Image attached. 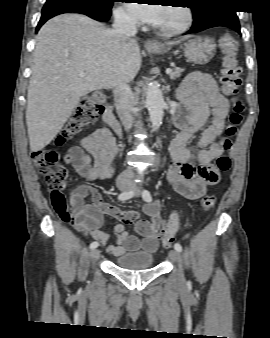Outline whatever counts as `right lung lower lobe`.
<instances>
[{
	"instance_id": "98d812e1",
	"label": "right lung lower lobe",
	"mask_w": 270,
	"mask_h": 338,
	"mask_svg": "<svg viewBox=\"0 0 270 338\" xmlns=\"http://www.w3.org/2000/svg\"><path fill=\"white\" fill-rule=\"evenodd\" d=\"M68 12H76L87 15L98 21H106L111 15V9L99 8L83 4H45L42 9V16L36 28V32L50 18Z\"/></svg>"
}]
</instances>
